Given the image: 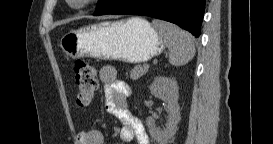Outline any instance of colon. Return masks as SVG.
<instances>
[{"mask_svg":"<svg viewBox=\"0 0 273 144\" xmlns=\"http://www.w3.org/2000/svg\"><path fill=\"white\" fill-rule=\"evenodd\" d=\"M74 77L77 86V103L80 106L89 105L97 90L95 69L82 60L74 64Z\"/></svg>","mask_w":273,"mask_h":144,"instance_id":"colon-1","label":"colon"}]
</instances>
